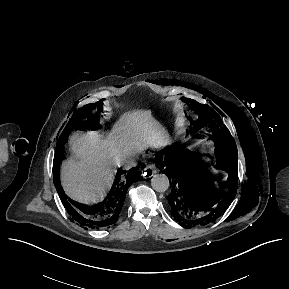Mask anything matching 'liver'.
<instances>
[{
  "instance_id": "liver-1",
  "label": "liver",
  "mask_w": 289,
  "mask_h": 289,
  "mask_svg": "<svg viewBox=\"0 0 289 289\" xmlns=\"http://www.w3.org/2000/svg\"><path fill=\"white\" fill-rule=\"evenodd\" d=\"M167 141L165 131L147 110L123 114L107 138L94 132L76 133L70 143L80 160H66L62 164V187L75 201L85 204L96 202L113 177V164L118 153L151 142Z\"/></svg>"
}]
</instances>
